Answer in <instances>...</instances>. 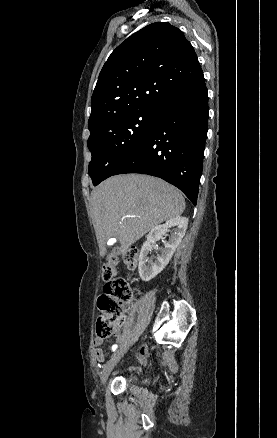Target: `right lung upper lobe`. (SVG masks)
Returning <instances> with one entry per match:
<instances>
[{
  "label": "right lung upper lobe",
  "mask_w": 277,
  "mask_h": 438,
  "mask_svg": "<svg viewBox=\"0 0 277 438\" xmlns=\"http://www.w3.org/2000/svg\"><path fill=\"white\" fill-rule=\"evenodd\" d=\"M202 76L197 55L182 31L169 23H152L128 37L104 64L91 98L88 127L157 108L164 98Z\"/></svg>",
  "instance_id": "1"
}]
</instances>
